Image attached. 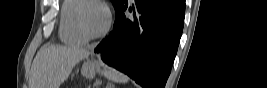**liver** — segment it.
<instances>
[{"instance_id":"1","label":"liver","mask_w":267,"mask_h":88,"mask_svg":"<svg viewBox=\"0 0 267 88\" xmlns=\"http://www.w3.org/2000/svg\"><path fill=\"white\" fill-rule=\"evenodd\" d=\"M88 56L87 49L76 46L43 47L32 63L29 88H59L73 67Z\"/></svg>"}]
</instances>
